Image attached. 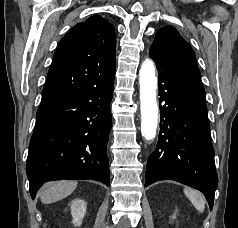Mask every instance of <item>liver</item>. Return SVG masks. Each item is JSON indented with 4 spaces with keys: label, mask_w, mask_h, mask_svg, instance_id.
Masks as SVG:
<instances>
[{
    "label": "liver",
    "mask_w": 238,
    "mask_h": 228,
    "mask_svg": "<svg viewBox=\"0 0 238 228\" xmlns=\"http://www.w3.org/2000/svg\"><path fill=\"white\" fill-rule=\"evenodd\" d=\"M76 181H58L44 185L40 192L43 204H50L69 196L77 187Z\"/></svg>",
    "instance_id": "obj_1"
}]
</instances>
